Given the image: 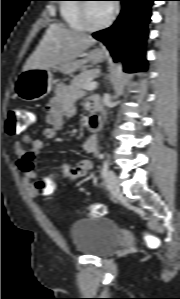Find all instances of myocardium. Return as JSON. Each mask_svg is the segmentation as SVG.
Returning a JSON list of instances; mask_svg holds the SVG:
<instances>
[{"label":"myocardium","instance_id":"myocardium-1","mask_svg":"<svg viewBox=\"0 0 180 299\" xmlns=\"http://www.w3.org/2000/svg\"><path fill=\"white\" fill-rule=\"evenodd\" d=\"M83 1H86V0H83ZM114 16H115L114 11L111 10L109 17L104 22H102L101 24H98V25H92L88 19L87 3L82 2L79 4V19H80V22H81L84 30H86V31L96 32V31L105 29L113 22Z\"/></svg>","mask_w":180,"mask_h":299}]
</instances>
